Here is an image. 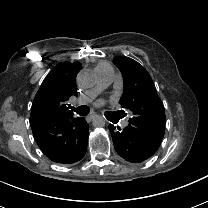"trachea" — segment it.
I'll list each match as a JSON object with an SVG mask.
<instances>
[{
  "label": "trachea",
  "mask_w": 208,
  "mask_h": 208,
  "mask_svg": "<svg viewBox=\"0 0 208 208\" xmlns=\"http://www.w3.org/2000/svg\"><path fill=\"white\" fill-rule=\"evenodd\" d=\"M71 109L75 111L77 114L82 115V116H85L89 113V107L85 105L79 106L77 108L71 107Z\"/></svg>",
  "instance_id": "3493384b"
}]
</instances>
